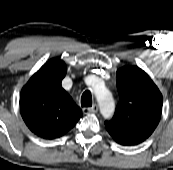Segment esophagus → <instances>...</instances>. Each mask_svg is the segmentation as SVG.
<instances>
[{"label":"esophagus","instance_id":"34e87169","mask_svg":"<svg viewBox=\"0 0 173 170\" xmlns=\"http://www.w3.org/2000/svg\"><path fill=\"white\" fill-rule=\"evenodd\" d=\"M98 111V105L94 104L92 107L89 108H83V113H96Z\"/></svg>","mask_w":173,"mask_h":170}]
</instances>
